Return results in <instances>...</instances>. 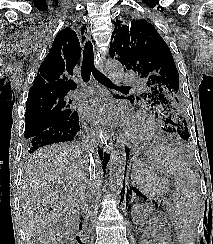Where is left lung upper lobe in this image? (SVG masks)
<instances>
[{"mask_svg":"<svg viewBox=\"0 0 213 244\" xmlns=\"http://www.w3.org/2000/svg\"><path fill=\"white\" fill-rule=\"evenodd\" d=\"M112 39L111 57L116 55L124 69L134 71L141 86L140 95L128 99L146 102L162 120L166 132L188 140L179 74L168 45L155 27L145 20H133L129 26L116 22Z\"/></svg>","mask_w":213,"mask_h":244,"instance_id":"left-lung-upper-lobe-1","label":"left lung upper lobe"}]
</instances>
